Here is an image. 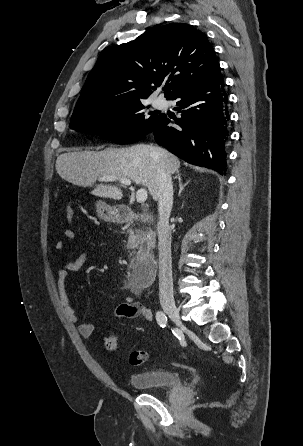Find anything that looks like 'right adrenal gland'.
Listing matches in <instances>:
<instances>
[{
	"instance_id": "1",
	"label": "right adrenal gland",
	"mask_w": 303,
	"mask_h": 446,
	"mask_svg": "<svg viewBox=\"0 0 303 446\" xmlns=\"http://www.w3.org/2000/svg\"><path fill=\"white\" fill-rule=\"evenodd\" d=\"M175 178L178 179V183H179V192H178V196H180L182 190H183L184 187L189 183V181H187L185 184H182L181 173H180L179 171H177Z\"/></svg>"
}]
</instances>
